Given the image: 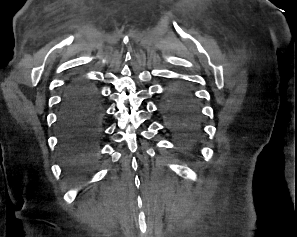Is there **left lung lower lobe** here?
<instances>
[{
    "mask_svg": "<svg viewBox=\"0 0 297 237\" xmlns=\"http://www.w3.org/2000/svg\"><path fill=\"white\" fill-rule=\"evenodd\" d=\"M162 110L169 120V128L181 139L184 148L189 149L201 138L204 131L195 101L166 103Z\"/></svg>",
    "mask_w": 297,
    "mask_h": 237,
    "instance_id": "left-lung-lower-lobe-1",
    "label": "left lung lower lobe"
}]
</instances>
